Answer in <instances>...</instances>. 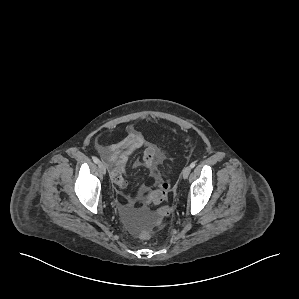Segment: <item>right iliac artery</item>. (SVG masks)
Segmentation results:
<instances>
[{"instance_id": "right-iliac-artery-1", "label": "right iliac artery", "mask_w": 299, "mask_h": 299, "mask_svg": "<svg viewBox=\"0 0 299 299\" xmlns=\"http://www.w3.org/2000/svg\"><path fill=\"white\" fill-rule=\"evenodd\" d=\"M94 163L98 164L99 163V159L98 158H93Z\"/></svg>"}]
</instances>
